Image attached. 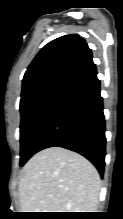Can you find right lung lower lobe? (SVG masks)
Masks as SVG:
<instances>
[{"label":"right lung lower lobe","mask_w":123,"mask_h":219,"mask_svg":"<svg viewBox=\"0 0 123 219\" xmlns=\"http://www.w3.org/2000/svg\"><path fill=\"white\" fill-rule=\"evenodd\" d=\"M105 117L95 65L69 80L33 144V154L63 147L86 157L102 176L105 167Z\"/></svg>","instance_id":"98d812e1"}]
</instances>
